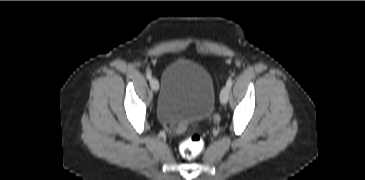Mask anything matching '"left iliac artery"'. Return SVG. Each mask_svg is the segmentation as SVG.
I'll return each mask as SVG.
<instances>
[{
	"instance_id": "obj_1",
	"label": "left iliac artery",
	"mask_w": 365,
	"mask_h": 180,
	"mask_svg": "<svg viewBox=\"0 0 365 180\" xmlns=\"http://www.w3.org/2000/svg\"><path fill=\"white\" fill-rule=\"evenodd\" d=\"M233 81L229 79L226 83V86L230 89L232 87Z\"/></svg>"
}]
</instances>
